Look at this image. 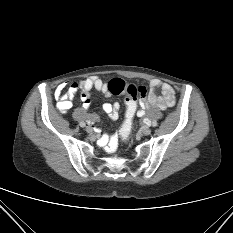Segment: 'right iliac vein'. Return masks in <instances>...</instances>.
I'll use <instances>...</instances> for the list:
<instances>
[{"label":"right iliac vein","instance_id":"right-iliac-vein-1","mask_svg":"<svg viewBox=\"0 0 233 233\" xmlns=\"http://www.w3.org/2000/svg\"><path fill=\"white\" fill-rule=\"evenodd\" d=\"M85 130L88 132V133H93V128L91 126H86Z\"/></svg>","mask_w":233,"mask_h":233}]
</instances>
